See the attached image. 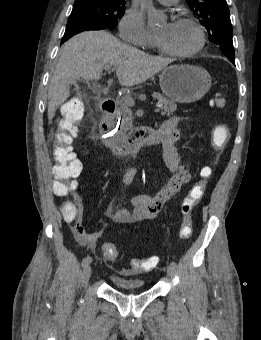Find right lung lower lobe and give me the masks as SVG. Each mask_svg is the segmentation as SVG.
Returning a JSON list of instances; mask_svg holds the SVG:
<instances>
[{
    "label": "right lung lower lobe",
    "mask_w": 261,
    "mask_h": 340,
    "mask_svg": "<svg viewBox=\"0 0 261 340\" xmlns=\"http://www.w3.org/2000/svg\"><path fill=\"white\" fill-rule=\"evenodd\" d=\"M101 29L102 28L100 26L89 21L77 20L68 22L61 43L65 42L66 40H68L70 37L74 36L77 33L87 30H101Z\"/></svg>",
    "instance_id": "98d812e1"
}]
</instances>
